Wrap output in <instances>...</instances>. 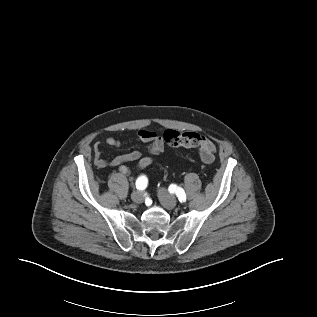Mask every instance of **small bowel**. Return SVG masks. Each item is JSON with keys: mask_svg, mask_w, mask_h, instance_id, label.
<instances>
[{"mask_svg": "<svg viewBox=\"0 0 317 317\" xmlns=\"http://www.w3.org/2000/svg\"><path fill=\"white\" fill-rule=\"evenodd\" d=\"M137 140L149 144V150L152 154H159L164 151L165 145L162 137L158 136L155 132L150 130H139L137 133ZM105 144L110 147L122 146V141L114 138L107 137ZM216 147L214 143L208 138L201 136V143L199 145V154L205 163H211L214 160ZM137 162V170H142L153 163V157L143 156L138 150L118 155L111 159H105L101 145L97 144L94 147V164L97 168L116 167L119 172L125 176L132 175V170L126 165L128 162Z\"/></svg>", "mask_w": 317, "mask_h": 317, "instance_id": "1", "label": "small bowel"}]
</instances>
